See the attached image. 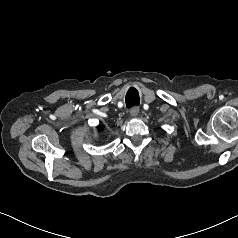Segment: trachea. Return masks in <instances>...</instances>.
<instances>
[{"label":"trachea","mask_w":238,"mask_h":238,"mask_svg":"<svg viewBox=\"0 0 238 238\" xmlns=\"http://www.w3.org/2000/svg\"><path fill=\"white\" fill-rule=\"evenodd\" d=\"M139 104V97L138 95H133L130 91L126 95V106L128 108L132 107L133 105Z\"/></svg>","instance_id":"obj_1"}]
</instances>
